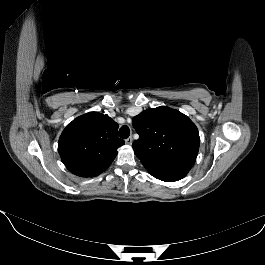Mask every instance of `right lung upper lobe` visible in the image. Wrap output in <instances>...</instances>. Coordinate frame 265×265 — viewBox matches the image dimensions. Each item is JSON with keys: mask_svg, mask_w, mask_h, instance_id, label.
Returning <instances> with one entry per match:
<instances>
[{"mask_svg": "<svg viewBox=\"0 0 265 265\" xmlns=\"http://www.w3.org/2000/svg\"><path fill=\"white\" fill-rule=\"evenodd\" d=\"M118 124L108 115L89 112L74 119L63 130L58 151L73 174L94 177L105 171L125 142L117 137Z\"/></svg>", "mask_w": 265, "mask_h": 265, "instance_id": "1", "label": "right lung upper lobe"}]
</instances>
